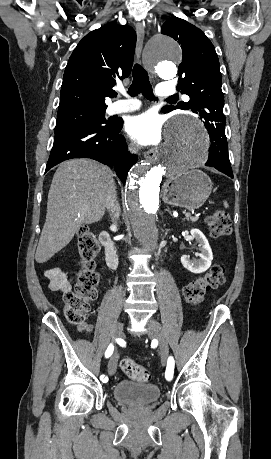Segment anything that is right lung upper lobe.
<instances>
[{"instance_id":"obj_1","label":"right lung upper lobe","mask_w":271,"mask_h":459,"mask_svg":"<svg viewBox=\"0 0 271 459\" xmlns=\"http://www.w3.org/2000/svg\"><path fill=\"white\" fill-rule=\"evenodd\" d=\"M136 33L130 26L110 23L86 35L65 68L58 111L82 106H107L116 80L131 73Z\"/></svg>"}]
</instances>
